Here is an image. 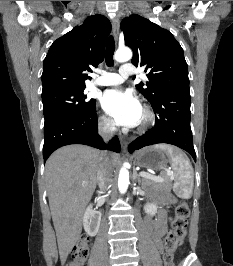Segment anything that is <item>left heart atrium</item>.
Listing matches in <instances>:
<instances>
[{
    "mask_svg": "<svg viewBox=\"0 0 233 266\" xmlns=\"http://www.w3.org/2000/svg\"><path fill=\"white\" fill-rule=\"evenodd\" d=\"M102 106L118 124L133 127L140 122L142 107L138 98L128 90H107Z\"/></svg>",
    "mask_w": 233,
    "mask_h": 266,
    "instance_id": "1",
    "label": "left heart atrium"
}]
</instances>
